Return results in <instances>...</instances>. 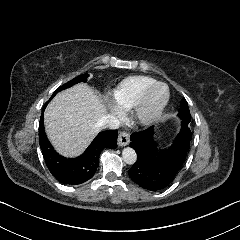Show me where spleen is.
Here are the masks:
<instances>
[{
	"instance_id": "1",
	"label": "spleen",
	"mask_w": 240,
	"mask_h": 240,
	"mask_svg": "<svg viewBox=\"0 0 240 240\" xmlns=\"http://www.w3.org/2000/svg\"><path fill=\"white\" fill-rule=\"evenodd\" d=\"M154 150L157 152V153H162L165 151V147L164 146H155Z\"/></svg>"
}]
</instances>
